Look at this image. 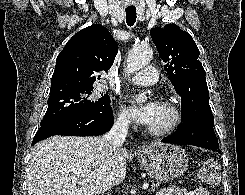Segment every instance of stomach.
Masks as SVG:
<instances>
[{
  "label": "stomach",
  "mask_w": 245,
  "mask_h": 195,
  "mask_svg": "<svg viewBox=\"0 0 245 195\" xmlns=\"http://www.w3.org/2000/svg\"><path fill=\"white\" fill-rule=\"evenodd\" d=\"M137 157L147 174L159 181L172 180L188 167L187 154L173 144H151L143 147Z\"/></svg>",
  "instance_id": "obj_1"
}]
</instances>
